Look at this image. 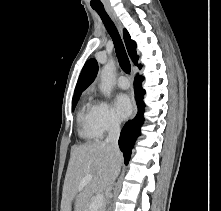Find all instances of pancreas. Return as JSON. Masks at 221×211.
<instances>
[{
    "mask_svg": "<svg viewBox=\"0 0 221 211\" xmlns=\"http://www.w3.org/2000/svg\"><path fill=\"white\" fill-rule=\"evenodd\" d=\"M90 203H91L90 200H88V201L86 202L84 211H91V210H90ZM96 211H105V208H104V206H101V207L98 208Z\"/></svg>",
    "mask_w": 221,
    "mask_h": 211,
    "instance_id": "pancreas-1",
    "label": "pancreas"
}]
</instances>
